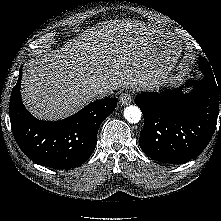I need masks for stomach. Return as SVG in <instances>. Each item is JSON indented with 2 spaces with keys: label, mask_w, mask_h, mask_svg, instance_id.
Returning <instances> with one entry per match:
<instances>
[{
  "label": "stomach",
  "mask_w": 221,
  "mask_h": 221,
  "mask_svg": "<svg viewBox=\"0 0 221 221\" xmlns=\"http://www.w3.org/2000/svg\"><path fill=\"white\" fill-rule=\"evenodd\" d=\"M154 51L156 67L152 72L151 88H158L165 83L180 56L182 44L179 39L165 31H154L149 38Z\"/></svg>",
  "instance_id": "1"
}]
</instances>
